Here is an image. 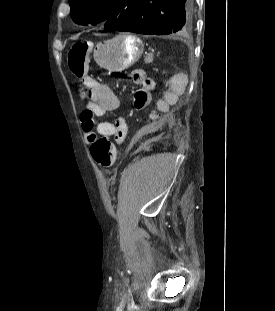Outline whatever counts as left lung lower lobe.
Wrapping results in <instances>:
<instances>
[{"label":"left lung lower lobe","mask_w":275,"mask_h":311,"mask_svg":"<svg viewBox=\"0 0 275 311\" xmlns=\"http://www.w3.org/2000/svg\"><path fill=\"white\" fill-rule=\"evenodd\" d=\"M192 9L193 0H141L134 16L116 31L184 34L192 29Z\"/></svg>","instance_id":"0a47b994"}]
</instances>
